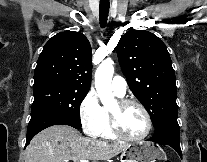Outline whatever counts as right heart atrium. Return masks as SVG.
Wrapping results in <instances>:
<instances>
[{"label": "right heart atrium", "instance_id": "1", "mask_svg": "<svg viewBox=\"0 0 207 162\" xmlns=\"http://www.w3.org/2000/svg\"><path fill=\"white\" fill-rule=\"evenodd\" d=\"M79 120L87 135L99 136L104 125L105 115L96 93L92 90L86 93L80 103Z\"/></svg>", "mask_w": 207, "mask_h": 162}]
</instances>
